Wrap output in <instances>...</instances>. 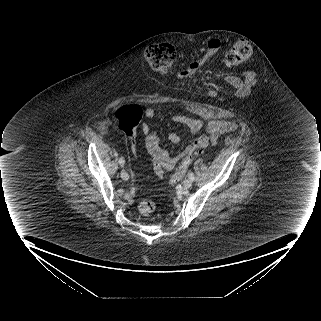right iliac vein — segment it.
I'll return each instance as SVG.
<instances>
[{"instance_id": "63e3f726", "label": "right iliac vein", "mask_w": 321, "mask_h": 321, "mask_svg": "<svg viewBox=\"0 0 321 321\" xmlns=\"http://www.w3.org/2000/svg\"><path fill=\"white\" fill-rule=\"evenodd\" d=\"M121 178H122L123 180H125V181H127V180L129 179V175H128V173H127L125 170H123V171L121 172Z\"/></svg>"}]
</instances>
